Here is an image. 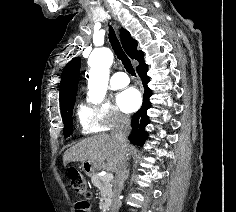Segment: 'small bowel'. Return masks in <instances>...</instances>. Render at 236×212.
<instances>
[{"label":"small bowel","instance_id":"c3829d8e","mask_svg":"<svg viewBox=\"0 0 236 212\" xmlns=\"http://www.w3.org/2000/svg\"><path fill=\"white\" fill-rule=\"evenodd\" d=\"M75 212H90L89 199H76Z\"/></svg>","mask_w":236,"mask_h":212}]
</instances>
